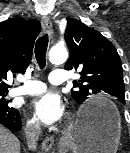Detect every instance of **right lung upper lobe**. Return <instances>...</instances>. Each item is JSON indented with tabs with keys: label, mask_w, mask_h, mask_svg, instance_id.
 I'll return each instance as SVG.
<instances>
[{
	"label": "right lung upper lobe",
	"mask_w": 130,
	"mask_h": 153,
	"mask_svg": "<svg viewBox=\"0 0 130 153\" xmlns=\"http://www.w3.org/2000/svg\"><path fill=\"white\" fill-rule=\"evenodd\" d=\"M41 30L37 20L12 18L0 23V91H8L7 74L25 72Z\"/></svg>",
	"instance_id": "1"
}]
</instances>
